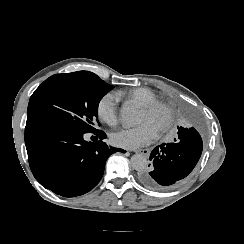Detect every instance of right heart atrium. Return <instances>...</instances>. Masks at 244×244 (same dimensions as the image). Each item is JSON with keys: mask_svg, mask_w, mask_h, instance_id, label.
<instances>
[{"mask_svg": "<svg viewBox=\"0 0 244 244\" xmlns=\"http://www.w3.org/2000/svg\"><path fill=\"white\" fill-rule=\"evenodd\" d=\"M99 118L108 125H114L118 121V98L113 92H107L101 96L97 103Z\"/></svg>", "mask_w": 244, "mask_h": 244, "instance_id": "obj_1", "label": "right heart atrium"}]
</instances>
